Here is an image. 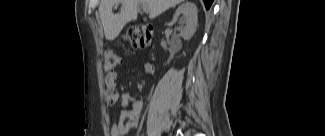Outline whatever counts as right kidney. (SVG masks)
<instances>
[{"mask_svg": "<svg viewBox=\"0 0 325 136\" xmlns=\"http://www.w3.org/2000/svg\"><path fill=\"white\" fill-rule=\"evenodd\" d=\"M183 15L179 19L180 27L177 28L180 31V36L185 40H190L194 35L197 27V7L192 2H185L181 4L175 11L173 15V22H176L180 15ZM161 46L166 50V42L161 41Z\"/></svg>", "mask_w": 325, "mask_h": 136, "instance_id": "right-kidney-1", "label": "right kidney"}]
</instances>
